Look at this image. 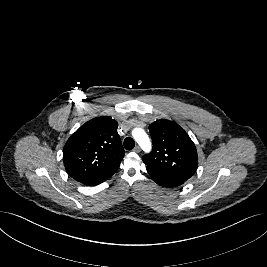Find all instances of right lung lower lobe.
I'll return each instance as SVG.
<instances>
[{
  "instance_id": "right-lung-lower-lobe-1",
  "label": "right lung lower lobe",
  "mask_w": 267,
  "mask_h": 267,
  "mask_svg": "<svg viewBox=\"0 0 267 267\" xmlns=\"http://www.w3.org/2000/svg\"><path fill=\"white\" fill-rule=\"evenodd\" d=\"M116 170L117 169L109 170L105 173H102V174L96 176V177L84 180L81 183L88 185V186L98 185V184L104 182L105 180L109 179L116 172Z\"/></svg>"
}]
</instances>
